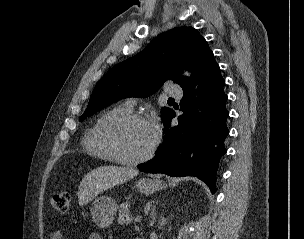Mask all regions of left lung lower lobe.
Listing matches in <instances>:
<instances>
[{
	"label": "left lung lower lobe",
	"instance_id": "0a47b994",
	"mask_svg": "<svg viewBox=\"0 0 304 239\" xmlns=\"http://www.w3.org/2000/svg\"><path fill=\"white\" fill-rule=\"evenodd\" d=\"M195 82L199 84L197 93L193 84L183 89L179 124L171 126L175 112L170 111L163 120L165 136L160 149L139 170L173 177L196 176L214 193L219 160L226 153L224 139L229 134L226 127L229 112L225 108V82L213 53Z\"/></svg>",
	"mask_w": 304,
	"mask_h": 239
}]
</instances>
